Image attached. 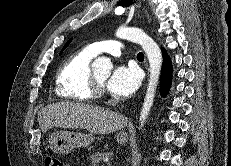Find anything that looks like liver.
Segmentation results:
<instances>
[{
  "label": "liver",
  "instance_id": "6515ba94",
  "mask_svg": "<svg viewBox=\"0 0 231 166\" xmlns=\"http://www.w3.org/2000/svg\"><path fill=\"white\" fill-rule=\"evenodd\" d=\"M38 123L43 133L53 127L83 128L93 134H109L127 125L123 115L75 102H59L43 107L38 113Z\"/></svg>",
  "mask_w": 231,
  "mask_h": 166
}]
</instances>
